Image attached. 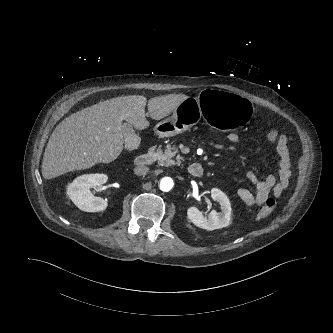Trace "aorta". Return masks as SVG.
Here are the masks:
<instances>
[{
    "label": "aorta",
    "mask_w": 333,
    "mask_h": 333,
    "mask_svg": "<svg viewBox=\"0 0 333 333\" xmlns=\"http://www.w3.org/2000/svg\"><path fill=\"white\" fill-rule=\"evenodd\" d=\"M173 186H174V182H173L172 178H170V177H163L160 180L159 187L164 192L170 191L173 188Z\"/></svg>",
    "instance_id": "1"
}]
</instances>
